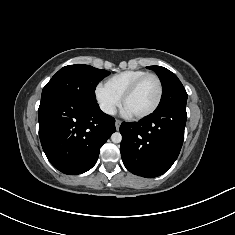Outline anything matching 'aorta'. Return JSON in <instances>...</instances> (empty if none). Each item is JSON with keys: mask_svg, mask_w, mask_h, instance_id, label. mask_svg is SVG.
<instances>
[{"mask_svg": "<svg viewBox=\"0 0 235 235\" xmlns=\"http://www.w3.org/2000/svg\"><path fill=\"white\" fill-rule=\"evenodd\" d=\"M113 143H120L122 141V135L119 132H115L111 136Z\"/></svg>", "mask_w": 235, "mask_h": 235, "instance_id": "1", "label": "aorta"}]
</instances>
